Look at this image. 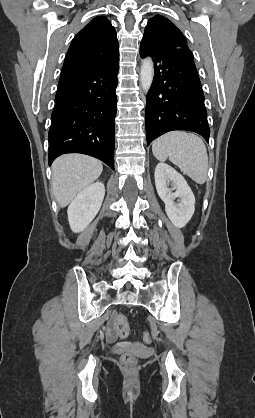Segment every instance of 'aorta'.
Segmentation results:
<instances>
[{
    "label": "aorta",
    "instance_id": "762f6f07",
    "mask_svg": "<svg viewBox=\"0 0 255 418\" xmlns=\"http://www.w3.org/2000/svg\"><path fill=\"white\" fill-rule=\"evenodd\" d=\"M154 76L153 62L151 58H145L141 64L140 83L144 92H148Z\"/></svg>",
    "mask_w": 255,
    "mask_h": 418
}]
</instances>
